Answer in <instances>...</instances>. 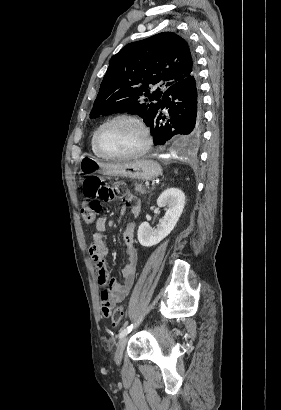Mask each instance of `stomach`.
<instances>
[{
	"label": "stomach",
	"mask_w": 281,
	"mask_h": 410,
	"mask_svg": "<svg viewBox=\"0 0 281 410\" xmlns=\"http://www.w3.org/2000/svg\"><path fill=\"white\" fill-rule=\"evenodd\" d=\"M81 173H99L108 176L151 180L162 173L158 163L149 159H137L123 163H102L91 156L80 159Z\"/></svg>",
	"instance_id": "obj_1"
}]
</instances>
